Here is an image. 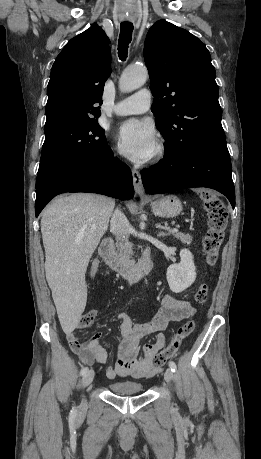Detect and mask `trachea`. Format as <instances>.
<instances>
[{"mask_svg":"<svg viewBox=\"0 0 261 459\" xmlns=\"http://www.w3.org/2000/svg\"><path fill=\"white\" fill-rule=\"evenodd\" d=\"M133 24L122 22L120 24V36L118 40V56L121 61H125L128 54V46L132 40Z\"/></svg>","mask_w":261,"mask_h":459,"instance_id":"trachea-1","label":"trachea"}]
</instances>
